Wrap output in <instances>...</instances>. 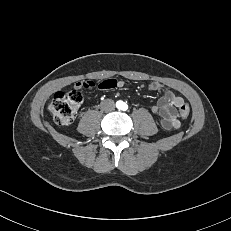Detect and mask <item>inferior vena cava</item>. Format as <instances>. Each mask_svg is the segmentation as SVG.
Wrapping results in <instances>:
<instances>
[{
	"label": "inferior vena cava",
	"instance_id": "inferior-vena-cava-1",
	"mask_svg": "<svg viewBox=\"0 0 231 231\" xmlns=\"http://www.w3.org/2000/svg\"><path fill=\"white\" fill-rule=\"evenodd\" d=\"M100 107H101V110H103L105 112H109L115 108V104H114L113 100L106 99V100L101 102Z\"/></svg>",
	"mask_w": 231,
	"mask_h": 231
}]
</instances>
